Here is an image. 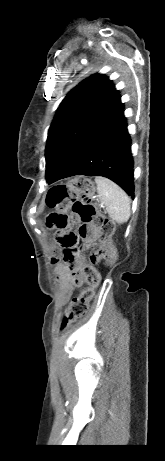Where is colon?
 <instances>
[{
    "mask_svg": "<svg viewBox=\"0 0 165 461\" xmlns=\"http://www.w3.org/2000/svg\"><path fill=\"white\" fill-rule=\"evenodd\" d=\"M93 185L87 178H78L65 184L52 187L46 197L47 207L54 210L47 217V226L54 229H65L71 219V214L84 225H96L99 244L91 257V263L83 267V273L88 286L70 301L67 311L61 319L60 328L66 329L81 319L87 312L90 301L94 298L96 289L101 282V275L94 263L109 260L114 255L111 238L115 230L114 223L98 212L92 202ZM64 251V250H63ZM57 261L52 255L50 263Z\"/></svg>",
    "mask_w": 165,
    "mask_h": 461,
    "instance_id": "colon-1",
    "label": "colon"
}]
</instances>
